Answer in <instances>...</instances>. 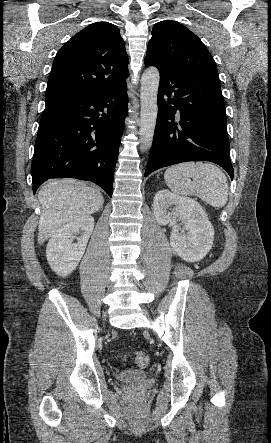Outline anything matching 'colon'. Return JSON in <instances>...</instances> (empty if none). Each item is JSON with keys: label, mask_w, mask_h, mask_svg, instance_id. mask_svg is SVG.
<instances>
[{"label": "colon", "mask_w": 271, "mask_h": 443, "mask_svg": "<svg viewBox=\"0 0 271 443\" xmlns=\"http://www.w3.org/2000/svg\"><path fill=\"white\" fill-rule=\"evenodd\" d=\"M134 357L139 367H146L149 363V356L145 352L142 351L135 352Z\"/></svg>", "instance_id": "1"}]
</instances>
